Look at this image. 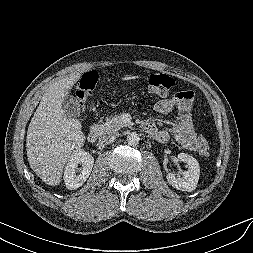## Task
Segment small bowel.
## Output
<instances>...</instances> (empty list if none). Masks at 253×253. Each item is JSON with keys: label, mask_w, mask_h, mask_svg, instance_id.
<instances>
[{"label": "small bowel", "mask_w": 253, "mask_h": 253, "mask_svg": "<svg viewBox=\"0 0 253 253\" xmlns=\"http://www.w3.org/2000/svg\"><path fill=\"white\" fill-rule=\"evenodd\" d=\"M178 108L179 116L171 127L158 129L151 121L145 124V131L159 142H167L172 134L185 148L191 151L198 150V136L194 130L190 108L191 103L182 102L174 98H164L155 105V111L160 114H169Z\"/></svg>", "instance_id": "1"}]
</instances>
